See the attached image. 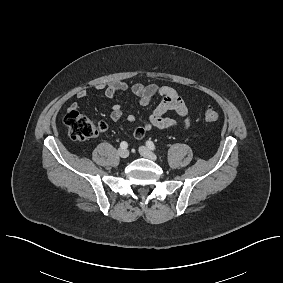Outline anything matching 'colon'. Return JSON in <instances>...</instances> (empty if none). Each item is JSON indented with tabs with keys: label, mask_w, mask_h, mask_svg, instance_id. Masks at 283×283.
<instances>
[{
	"label": "colon",
	"mask_w": 283,
	"mask_h": 283,
	"mask_svg": "<svg viewBox=\"0 0 283 283\" xmlns=\"http://www.w3.org/2000/svg\"><path fill=\"white\" fill-rule=\"evenodd\" d=\"M204 118L209 123L219 120V114L213 110H207ZM65 124L68 127L70 136L74 140H87L96 137L106 128L103 122H96L77 110H71L65 117Z\"/></svg>",
	"instance_id": "colon-1"
}]
</instances>
